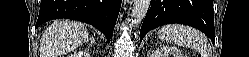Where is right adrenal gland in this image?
Returning <instances> with one entry per match:
<instances>
[{
  "label": "right adrenal gland",
  "instance_id": "2a0ac1e0",
  "mask_svg": "<svg viewBox=\"0 0 249 57\" xmlns=\"http://www.w3.org/2000/svg\"><path fill=\"white\" fill-rule=\"evenodd\" d=\"M92 43H95V40H94V39H92Z\"/></svg>",
  "mask_w": 249,
  "mask_h": 57
}]
</instances>
